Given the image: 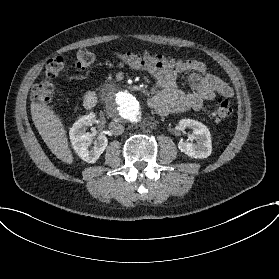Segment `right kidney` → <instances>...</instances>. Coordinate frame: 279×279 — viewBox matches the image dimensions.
I'll list each match as a JSON object with an SVG mask.
<instances>
[{
  "instance_id": "1",
  "label": "right kidney",
  "mask_w": 279,
  "mask_h": 279,
  "mask_svg": "<svg viewBox=\"0 0 279 279\" xmlns=\"http://www.w3.org/2000/svg\"><path fill=\"white\" fill-rule=\"evenodd\" d=\"M94 119L95 113L90 112L88 115L80 117L69 130L73 149L82 160L88 163H95L108 145L107 137L99 135L94 141V146L90 150L88 149L91 137L86 132V128L92 125Z\"/></svg>"
}]
</instances>
